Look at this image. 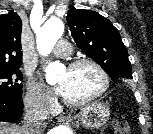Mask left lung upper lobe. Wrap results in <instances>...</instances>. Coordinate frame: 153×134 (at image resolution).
<instances>
[{
	"mask_svg": "<svg viewBox=\"0 0 153 134\" xmlns=\"http://www.w3.org/2000/svg\"><path fill=\"white\" fill-rule=\"evenodd\" d=\"M67 21L77 46L100 64L112 79H132L126 47L107 18L95 11L71 8Z\"/></svg>",
	"mask_w": 153,
	"mask_h": 134,
	"instance_id": "1",
	"label": "left lung upper lobe"
}]
</instances>
